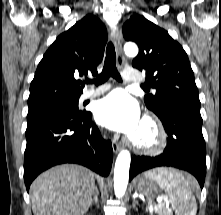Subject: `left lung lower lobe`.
I'll return each mask as SVG.
<instances>
[{
    "label": "left lung lower lobe",
    "mask_w": 221,
    "mask_h": 215,
    "mask_svg": "<svg viewBox=\"0 0 221 215\" xmlns=\"http://www.w3.org/2000/svg\"><path fill=\"white\" fill-rule=\"evenodd\" d=\"M167 132V146L156 157L134 156L129 180L138 173L160 166H171L193 174L203 188L206 175V147L202 134L200 108L168 102L156 114Z\"/></svg>",
    "instance_id": "0a47b994"
}]
</instances>
